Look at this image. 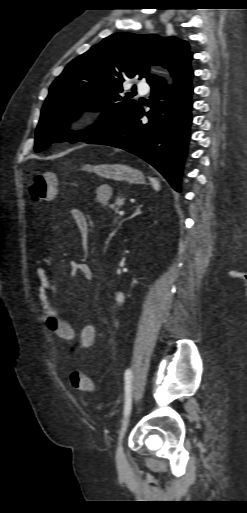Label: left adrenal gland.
<instances>
[{
	"mask_svg": "<svg viewBox=\"0 0 247 513\" xmlns=\"http://www.w3.org/2000/svg\"><path fill=\"white\" fill-rule=\"evenodd\" d=\"M142 206H143V205L135 206V208H136V209H135L134 213L132 214V216H130L129 218H123V219H121V220L118 222V227H117V229H116V230H114L113 235H114V234H115V232H117V230L121 227V225H122V223H123L124 221H126V220H128V219H131V218H133V217H135V216H137V215L141 214V213H142V212H141V207H142Z\"/></svg>",
	"mask_w": 247,
	"mask_h": 513,
	"instance_id": "1",
	"label": "left adrenal gland"
}]
</instances>
